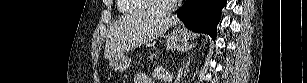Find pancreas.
<instances>
[{
	"instance_id": "cf45deb5",
	"label": "pancreas",
	"mask_w": 307,
	"mask_h": 83,
	"mask_svg": "<svg viewBox=\"0 0 307 83\" xmlns=\"http://www.w3.org/2000/svg\"><path fill=\"white\" fill-rule=\"evenodd\" d=\"M165 75H168V73L162 67H157L152 72V76L155 79H163Z\"/></svg>"
}]
</instances>
